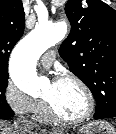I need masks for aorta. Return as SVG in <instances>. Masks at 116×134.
I'll return each mask as SVG.
<instances>
[{"instance_id": "obj_1", "label": "aorta", "mask_w": 116, "mask_h": 134, "mask_svg": "<svg viewBox=\"0 0 116 134\" xmlns=\"http://www.w3.org/2000/svg\"><path fill=\"white\" fill-rule=\"evenodd\" d=\"M67 33L64 22H40L14 48L10 59V77L23 92L34 96L41 92L47 80L36 73V61Z\"/></svg>"}]
</instances>
